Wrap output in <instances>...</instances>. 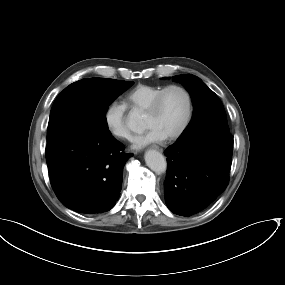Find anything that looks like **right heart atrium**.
Here are the masks:
<instances>
[{
    "label": "right heart atrium",
    "mask_w": 285,
    "mask_h": 285,
    "mask_svg": "<svg viewBox=\"0 0 285 285\" xmlns=\"http://www.w3.org/2000/svg\"><path fill=\"white\" fill-rule=\"evenodd\" d=\"M103 119L108 132L114 137L120 140L131 138L123 105L116 102L110 103L104 110Z\"/></svg>",
    "instance_id": "right-heart-atrium-1"
}]
</instances>
